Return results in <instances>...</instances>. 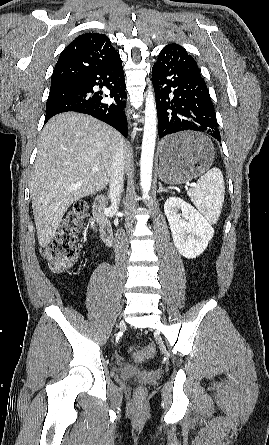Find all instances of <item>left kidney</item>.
Returning <instances> with one entry per match:
<instances>
[{
  "label": "left kidney",
  "instance_id": "1",
  "mask_svg": "<svg viewBox=\"0 0 269 445\" xmlns=\"http://www.w3.org/2000/svg\"><path fill=\"white\" fill-rule=\"evenodd\" d=\"M164 212L178 252L188 259L202 254L214 235V229L208 221L193 206L178 197L166 200Z\"/></svg>",
  "mask_w": 269,
  "mask_h": 445
}]
</instances>
